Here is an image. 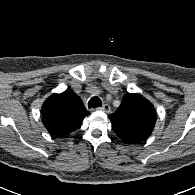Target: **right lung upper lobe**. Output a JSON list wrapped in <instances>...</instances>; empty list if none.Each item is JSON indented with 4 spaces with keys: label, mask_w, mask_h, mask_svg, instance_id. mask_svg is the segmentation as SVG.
I'll list each match as a JSON object with an SVG mask.
<instances>
[{
    "label": "right lung upper lobe",
    "mask_w": 195,
    "mask_h": 195,
    "mask_svg": "<svg viewBox=\"0 0 195 195\" xmlns=\"http://www.w3.org/2000/svg\"><path fill=\"white\" fill-rule=\"evenodd\" d=\"M88 114L82 100L73 91L55 93L42 105L44 126L51 134L62 138L78 129Z\"/></svg>",
    "instance_id": "right-lung-upper-lobe-1"
}]
</instances>
